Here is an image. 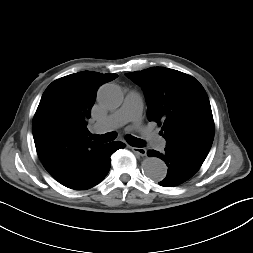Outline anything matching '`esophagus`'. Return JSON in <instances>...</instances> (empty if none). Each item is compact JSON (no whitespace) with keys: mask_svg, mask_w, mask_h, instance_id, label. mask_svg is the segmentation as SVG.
Wrapping results in <instances>:
<instances>
[{"mask_svg":"<svg viewBox=\"0 0 253 253\" xmlns=\"http://www.w3.org/2000/svg\"><path fill=\"white\" fill-rule=\"evenodd\" d=\"M132 151L140 156H145L147 151L142 147H131Z\"/></svg>","mask_w":253,"mask_h":253,"instance_id":"obj_1","label":"esophagus"}]
</instances>
